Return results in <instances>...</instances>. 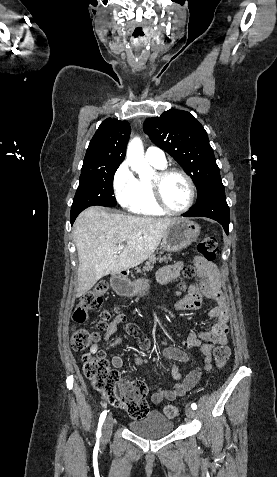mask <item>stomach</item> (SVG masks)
I'll list each match as a JSON object with an SVG mask.
<instances>
[{
	"label": "stomach",
	"instance_id": "stomach-1",
	"mask_svg": "<svg viewBox=\"0 0 277 477\" xmlns=\"http://www.w3.org/2000/svg\"><path fill=\"white\" fill-rule=\"evenodd\" d=\"M200 235V226L193 221L184 218L175 219L166 229L162 247L169 252H177L190 246ZM112 288L120 295L132 297L145 294L149 284L146 279L130 281L126 277L116 276L111 280Z\"/></svg>",
	"mask_w": 277,
	"mask_h": 477
}]
</instances>
